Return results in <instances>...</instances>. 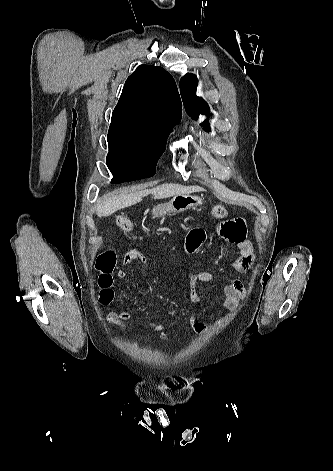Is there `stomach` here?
Masks as SVG:
<instances>
[{"mask_svg":"<svg viewBox=\"0 0 333 471\" xmlns=\"http://www.w3.org/2000/svg\"><path fill=\"white\" fill-rule=\"evenodd\" d=\"M203 199L189 194L176 195L165 204H159L152 210L154 218L164 217L170 213H181L188 209L202 205Z\"/></svg>","mask_w":333,"mask_h":471,"instance_id":"1","label":"stomach"}]
</instances>
